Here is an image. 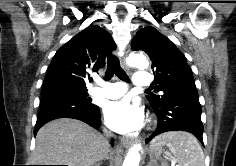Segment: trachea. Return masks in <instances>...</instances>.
<instances>
[{
  "mask_svg": "<svg viewBox=\"0 0 236 166\" xmlns=\"http://www.w3.org/2000/svg\"><path fill=\"white\" fill-rule=\"evenodd\" d=\"M114 74L118 76L119 79L129 82V77L121 68L118 58L114 56H110L107 61V70L105 73L106 80L111 79Z\"/></svg>",
  "mask_w": 236,
  "mask_h": 166,
  "instance_id": "trachea-1",
  "label": "trachea"
}]
</instances>
